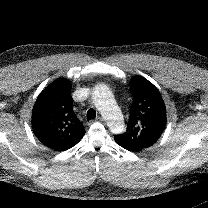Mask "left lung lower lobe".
<instances>
[{"mask_svg": "<svg viewBox=\"0 0 208 208\" xmlns=\"http://www.w3.org/2000/svg\"><path fill=\"white\" fill-rule=\"evenodd\" d=\"M115 141L121 146L123 147L124 149H127L129 151H132V152H138V151H141L142 148H139L135 145H132V144H129L127 142H124L116 137H114Z\"/></svg>", "mask_w": 208, "mask_h": 208, "instance_id": "left-lung-lower-lobe-1", "label": "left lung lower lobe"}]
</instances>
